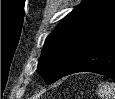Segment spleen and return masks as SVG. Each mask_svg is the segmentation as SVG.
<instances>
[{
  "label": "spleen",
  "mask_w": 115,
  "mask_h": 99,
  "mask_svg": "<svg viewBox=\"0 0 115 99\" xmlns=\"http://www.w3.org/2000/svg\"><path fill=\"white\" fill-rule=\"evenodd\" d=\"M97 94L101 99H115V84L113 82L99 84Z\"/></svg>",
  "instance_id": "obj_1"
}]
</instances>
